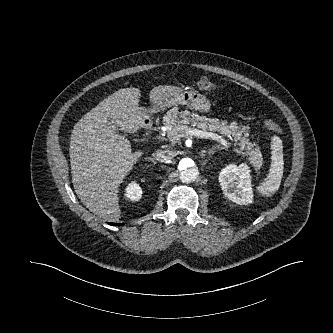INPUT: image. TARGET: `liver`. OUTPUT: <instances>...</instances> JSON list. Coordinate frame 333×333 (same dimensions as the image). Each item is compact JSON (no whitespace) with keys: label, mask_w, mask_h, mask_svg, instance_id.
<instances>
[{"label":"liver","mask_w":333,"mask_h":333,"mask_svg":"<svg viewBox=\"0 0 333 333\" xmlns=\"http://www.w3.org/2000/svg\"><path fill=\"white\" fill-rule=\"evenodd\" d=\"M182 89L157 86L149 94L154 106ZM141 91L123 88L100 102L74 125L70 141L72 183L78 198L95 215L119 219L118 189L142 156L132 152L130 141L116 133L137 132L147 119L139 107Z\"/></svg>","instance_id":"1"}]
</instances>
